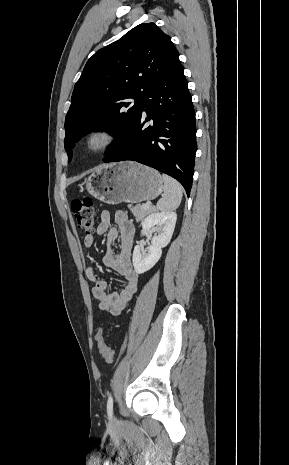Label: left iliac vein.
<instances>
[{
	"label": "left iliac vein",
	"instance_id": "4c4485c4",
	"mask_svg": "<svg viewBox=\"0 0 289 465\" xmlns=\"http://www.w3.org/2000/svg\"><path fill=\"white\" fill-rule=\"evenodd\" d=\"M114 420H115V418L111 419V421H114Z\"/></svg>",
	"mask_w": 289,
	"mask_h": 465
}]
</instances>
